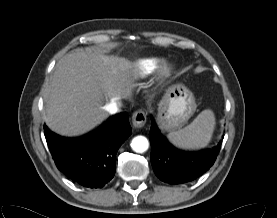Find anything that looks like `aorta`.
Masks as SVG:
<instances>
[{"instance_id":"1","label":"aorta","mask_w":277,"mask_h":218,"mask_svg":"<svg viewBox=\"0 0 277 218\" xmlns=\"http://www.w3.org/2000/svg\"><path fill=\"white\" fill-rule=\"evenodd\" d=\"M149 147V142L144 136H136L131 141V148L136 153H144Z\"/></svg>"}]
</instances>
